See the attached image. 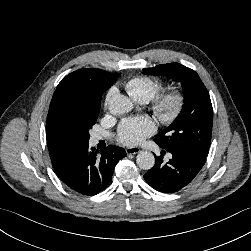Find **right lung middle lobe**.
<instances>
[{"instance_id": "right-lung-middle-lobe-1", "label": "right lung middle lobe", "mask_w": 251, "mask_h": 251, "mask_svg": "<svg viewBox=\"0 0 251 251\" xmlns=\"http://www.w3.org/2000/svg\"><path fill=\"white\" fill-rule=\"evenodd\" d=\"M102 92L84 90L76 101V123L81 132L83 143H88L89 130L96 123L99 115Z\"/></svg>"}]
</instances>
